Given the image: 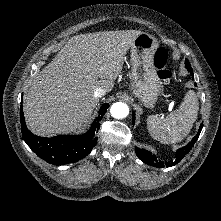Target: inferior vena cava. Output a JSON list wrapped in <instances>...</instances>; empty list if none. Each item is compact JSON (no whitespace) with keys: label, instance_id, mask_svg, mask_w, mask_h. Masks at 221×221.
I'll return each mask as SVG.
<instances>
[{"label":"inferior vena cava","instance_id":"obj_1","mask_svg":"<svg viewBox=\"0 0 221 221\" xmlns=\"http://www.w3.org/2000/svg\"><path fill=\"white\" fill-rule=\"evenodd\" d=\"M105 94H106V91L103 88H97L94 91V97H96V98H100V97L104 96Z\"/></svg>","mask_w":221,"mask_h":221}]
</instances>
